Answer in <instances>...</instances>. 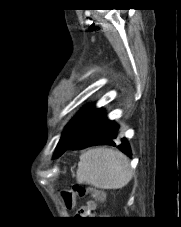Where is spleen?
Masks as SVG:
<instances>
[{"label":"spleen","mask_w":181,"mask_h":227,"mask_svg":"<svg viewBox=\"0 0 181 227\" xmlns=\"http://www.w3.org/2000/svg\"><path fill=\"white\" fill-rule=\"evenodd\" d=\"M78 183L100 189H120L132 179L128 158L121 152L109 148H94L80 156Z\"/></svg>","instance_id":"1"}]
</instances>
